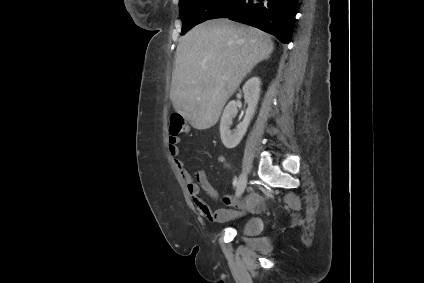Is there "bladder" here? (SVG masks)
<instances>
[{"label": "bladder", "instance_id": "bladder-1", "mask_svg": "<svg viewBox=\"0 0 424 283\" xmlns=\"http://www.w3.org/2000/svg\"><path fill=\"white\" fill-rule=\"evenodd\" d=\"M263 227L262 220L260 218H250L242 226V232L245 235H255L261 232Z\"/></svg>", "mask_w": 424, "mask_h": 283}]
</instances>
